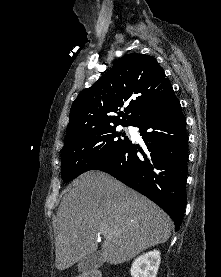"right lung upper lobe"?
I'll list each match as a JSON object with an SVG mask.
<instances>
[{
  "label": "right lung upper lobe",
  "mask_w": 221,
  "mask_h": 277,
  "mask_svg": "<svg viewBox=\"0 0 221 277\" xmlns=\"http://www.w3.org/2000/svg\"><path fill=\"white\" fill-rule=\"evenodd\" d=\"M171 90L155 58L137 53L126 55L78 95L70 110L65 140L95 127L131 125Z\"/></svg>",
  "instance_id": "obj_1"
}]
</instances>
